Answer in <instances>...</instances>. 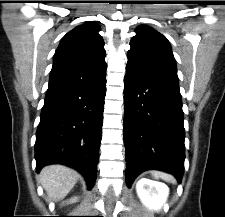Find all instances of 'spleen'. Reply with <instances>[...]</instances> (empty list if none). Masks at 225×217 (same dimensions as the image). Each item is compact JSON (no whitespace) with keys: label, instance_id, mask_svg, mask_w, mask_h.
I'll list each match as a JSON object with an SVG mask.
<instances>
[{"label":"spleen","instance_id":"3e777b00","mask_svg":"<svg viewBox=\"0 0 225 217\" xmlns=\"http://www.w3.org/2000/svg\"><path fill=\"white\" fill-rule=\"evenodd\" d=\"M152 175L156 179L161 178V179H163L165 181H168V182H174L173 176H171L170 174L164 173V172L154 171V172H152Z\"/></svg>","mask_w":225,"mask_h":217}]
</instances>
